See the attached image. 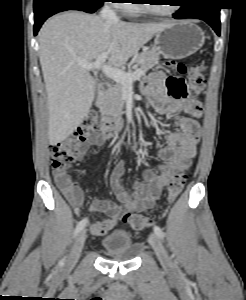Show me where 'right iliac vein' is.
Here are the masks:
<instances>
[{
	"label": "right iliac vein",
	"mask_w": 246,
	"mask_h": 300,
	"mask_svg": "<svg viewBox=\"0 0 246 300\" xmlns=\"http://www.w3.org/2000/svg\"><path fill=\"white\" fill-rule=\"evenodd\" d=\"M85 240H86V230L82 229L79 232V234L74 242V245L72 247V250L70 252V255L66 261L65 270H71L76 265V263L80 257V254L82 252Z\"/></svg>",
	"instance_id": "right-iliac-vein-1"
}]
</instances>
